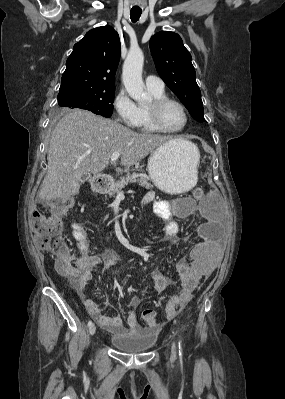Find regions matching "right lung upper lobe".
Wrapping results in <instances>:
<instances>
[{
  "instance_id": "right-lung-upper-lobe-1",
  "label": "right lung upper lobe",
  "mask_w": 285,
  "mask_h": 399,
  "mask_svg": "<svg viewBox=\"0 0 285 399\" xmlns=\"http://www.w3.org/2000/svg\"><path fill=\"white\" fill-rule=\"evenodd\" d=\"M120 54V39L111 26L88 31L67 59L59 92L115 90Z\"/></svg>"
}]
</instances>
